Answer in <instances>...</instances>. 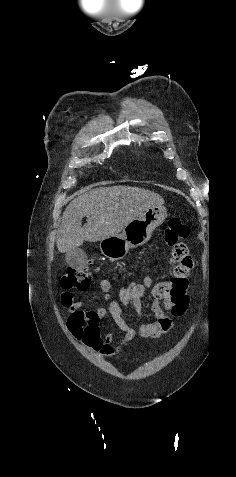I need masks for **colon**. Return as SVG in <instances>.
<instances>
[{
  "label": "colon",
  "instance_id": "5ec220e1",
  "mask_svg": "<svg viewBox=\"0 0 236 477\" xmlns=\"http://www.w3.org/2000/svg\"><path fill=\"white\" fill-rule=\"evenodd\" d=\"M190 233L188 225L178 218H171L165 229L164 237L168 246L172 247V258L179 261L189 256L188 247L182 242ZM93 281V272L86 269L69 268L61 279V285L66 290H86Z\"/></svg>",
  "mask_w": 236,
  "mask_h": 477
}]
</instances>
